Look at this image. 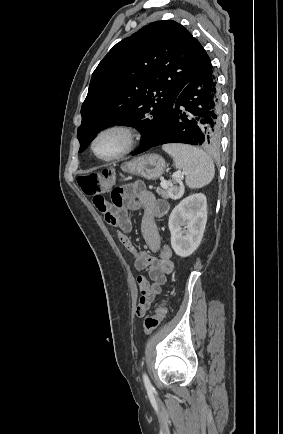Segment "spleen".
<instances>
[{
	"label": "spleen",
	"mask_w": 283,
	"mask_h": 434,
	"mask_svg": "<svg viewBox=\"0 0 283 434\" xmlns=\"http://www.w3.org/2000/svg\"><path fill=\"white\" fill-rule=\"evenodd\" d=\"M162 148L173 157L176 168L185 172L188 187L201 188L214 178L213 160L204 151L184 144H167Z\"/></svg>",
	"instance_id": "spleen-1"
}]
</instances>
